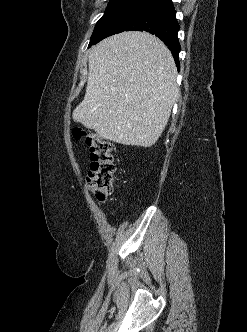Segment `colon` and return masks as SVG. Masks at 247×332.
<instances>
[{"instance_id": "1", "label": "colon", "mask_w": 247, "mask_h": 332, "mask_svg": "<svg viewBox=\"0 0 247 332\" xmlns=\"http://www.w3.org/2000/svg\"><path fill=\"white\" fill-rule=\"evenodd\" d=\"M76 138L84 137L91 152V165L87 175V184L98 202H105L112 194L116 163L111 144L94 132L80 128L74 130Z\"/></svg>"}]
</instances>
